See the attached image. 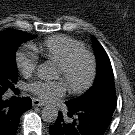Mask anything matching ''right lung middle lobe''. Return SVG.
<instances>
[{"instance_id": "right-lung-middle-lobe-1", "label": "right lung middle lobe", "mask_w": 135, "mask_h": 135, "mask_svg": "<svg viewBox=\"0 0 135 135\" xmlns=\"http://www.w3.org/2000/svg\"><path fill=\"white\" fill-rule=\"evenodd\" d=\"M36 36L20 30H6L0 32V94H4L8 88L15 89L18 79L15 52L17 47Z\"/></svg>"}]
</instances>
